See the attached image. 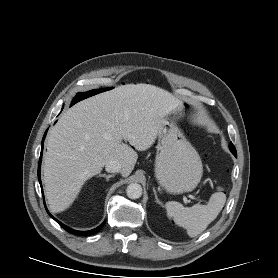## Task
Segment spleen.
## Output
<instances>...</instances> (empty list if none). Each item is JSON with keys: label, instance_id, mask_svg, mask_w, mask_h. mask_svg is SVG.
Listing matches in <instances>:
<instances>
[{"label": "spleen", "instance_id": "spleen-1", "mask_svg": "<svg viewBox=\"0 0 278 278\" xmlns=\"http://www.w3.org/2000/svg\"><path fill=\"white\" fill-rule=\"evenodd\" d=\"M225 202L226 195L219 191L212 194L207 205L197 204L187 208L179 202L170 201L165 207L168 217L172 218L177 225L184 227L190 237H195L215 220Z\"/></svg>", "mask_w": 278, "mask_h": 278}]
</instances>
